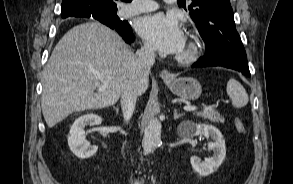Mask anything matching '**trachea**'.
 I'll return each instance as SVG.
<instances>
[{"mask_svg": "<svg viewBox=\"0 0 293 184\" xmlns=\"http://www.w3.org/2000/svg\"><path fill=\"white\" fill-rule=\"evenodd\" d=\"M122 1H125V2H131L132 0H122Z\"/></svg>", "mask_w": 293, "mask_h": 184, "instance_id": "3493384b", "label": "trachea"}]
</instances>
